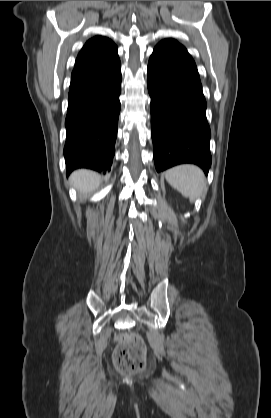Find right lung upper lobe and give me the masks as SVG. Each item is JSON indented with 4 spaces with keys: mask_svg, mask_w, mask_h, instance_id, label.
<instances>
[{
    "mask_svg": "<svg viewBox=\"0 0 271 418\" xmlns=\"http://www.w3.org/2000/svg\"><path fill=\"white\" fill-rule=\"evenodd\" d=\"M117 60V47L113 41L102 36L89 39L76 58L70 88L87 81Z\"/></svg>",
    "mask_w": 271,
    "mask_h": 418,
    "instance_id": "right-lung-upper-lobe-1",
    "label": "right lung upper lobe"
}]
</instances>
